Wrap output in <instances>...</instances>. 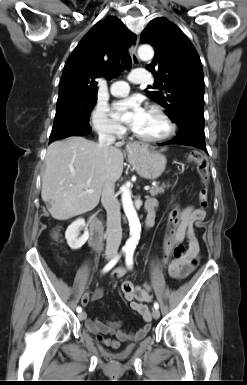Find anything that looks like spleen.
Listing matches in <instances>:
<instances>
[{"label":"spleen","mask_w":247,"mask_h":385,"mask_svg":"<svg viewBox=\"0 0 247 385\" xmlns=\"http://www.w3.org/2000/svg\"><path fill=\"white\" fill-rule=\"evenodd\" d=\"M162 151L166 150V148L161 149Z\"/></svg>","instance_id":"1"}]
</instances>
